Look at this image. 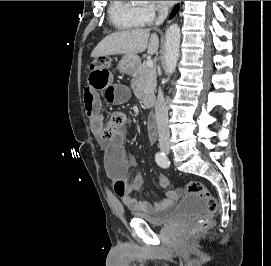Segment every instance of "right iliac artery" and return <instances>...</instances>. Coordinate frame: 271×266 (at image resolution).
Wrapping results in <instances>:
<instances>
[{
    "mask_svg": "<svg viewBox=\"0 0 271 266\" xmlns=\"http://www.w3.org/2000/svg\"><path fill=\"white\" fill-rule=\"evenodd\" d=\"M155 160L160 167H162V168L169 167L170 162H169L167 156L165 155V153L157 152L155 155Z\"/></svg>",
    "mask_w": 271,
    "mask_h": 266,
    "instance_id": "82829eb1",
    "label": "right iliac artery"
}]
</instances>
